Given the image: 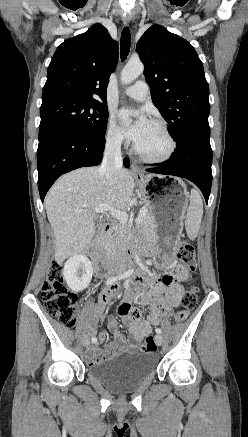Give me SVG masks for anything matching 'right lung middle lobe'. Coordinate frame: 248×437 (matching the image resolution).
<instances>
[{
    "label": "right lung middle lobe",
    "instance_id": "dd1d6c3e",
    "mask_svg": "<svg viewBox=\"0 0 248 437\" xmlns=\"http://www.w3.org/2000/svg\"><path fill=\"white\" fill-rule=\"evenodd\" d=\"M39 129L67 126L97 138L105 136L108 109L92 101L56 95L42 98Z\"/></svg>",
    "mask_w": 248,
    "mask_h": 437
}]
</instances>
